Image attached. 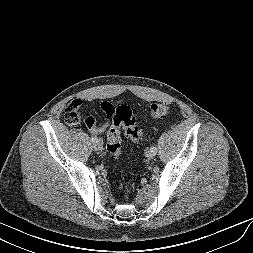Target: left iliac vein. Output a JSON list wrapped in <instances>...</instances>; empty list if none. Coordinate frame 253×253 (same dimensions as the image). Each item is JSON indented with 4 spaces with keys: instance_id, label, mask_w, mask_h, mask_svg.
Returning a JSON list of instances; mask_svg holds the SVG:
<instances>
[{
    "instance_id": "1",
    "label": "left iliac vein",
    "mask_w": 253,
    "mask_h": 253,
    "mask_svg": "<svg viewBox=\"0 0 253 253\" xmlns=\"http://www.w3.org/2000/svg\"><path fill=\"white\" fill-rule=\"evenodd\" d=\"M145 155L148 159H153L156 155V151H154L150 148V149L146 150Z\"/></svg>"
}]
</instances>
